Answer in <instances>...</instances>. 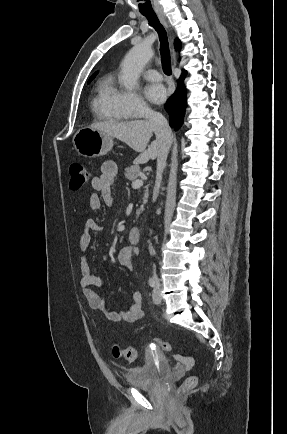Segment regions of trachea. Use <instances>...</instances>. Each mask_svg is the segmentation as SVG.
Wrapping results in <instances>:
<instances>
[{
  "instance_id": "3493384b",
  "label": "trachea",
  "mask_w": 287,
  "mask_h": 434,
  "mask_svg": "<svg viewBox=\"0 0 287 434\" xmlns=\"http://www.w3.org/2000/svg\"><path fill=\"white\" fill-rule=\"evenodd\" d=\"M144 16L148 19L149 25L152 26L159 35L160 40V54L163 71L166 75H171V60H170V50L167 33L164 27L160 24L156 14H144Z\"/></svg>"
}]
</instances>
